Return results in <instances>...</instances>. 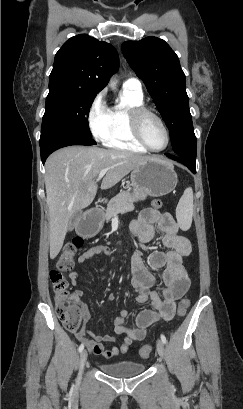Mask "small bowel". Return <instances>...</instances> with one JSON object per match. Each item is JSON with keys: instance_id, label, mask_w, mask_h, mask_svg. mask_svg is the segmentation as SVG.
I'll use <instances>...</instances> for the list:
<instances>
[{"instance_id": "obj_1", "label": "small bowel", "mask_w": 243, "mask_h": 409, "mask_svg": "<svg viewBox=\"0 0 243 409\" xmlns=\"http://www.w3.org/2000/svg\"><path fill=\"white\" fill-rule=\"evenodd\" d=\"M132 234L142 243L149 242L156 233L162 234V243L167 251H155L150 256V265L153 269L165 268L162 276L163 286L160 293L153 291L155 277L148 271L142 259V253L136 250L130 257L129 270L132 274L131 285L137 292L136 301L139 304L150 301L152 309H144L138 313L135 319V327L125 324L130 317L128 309H121L113 319V327L116 335L124 336L120 346L106 348L104 343H112L116 340L114 335H95L85 329L90 321V315L86 305L81 304L83 327L77 332V337L86 343L87 348L94 354L105 358H112L126 353L135 341H142L147 334V329L156 322H167L173 318L175 302L185 295L191 281L183 267V259L191 254L190 241L179 233V227L172 214L159 212L153 209H145L138 215L130 226ZM110 247L96 245L88 248L78 258L79 263H85L93 257L111 254ZM71 285L76 287L79 283V274L72 271L69 274ZM99 278H103L100 275ZM84 292L76 289L73 298L80 302ZM111 295L108 301H112Z\"/></svg>"}]
</instances>
